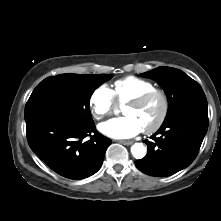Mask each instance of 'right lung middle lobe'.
Instances as JSON below:
<instances>
[{
    "mask_svg": "<svg viewBox=\"0 0 221 221\" xmlns=\"http://www.w3.org/2000/svg\"><path fill=\"white\" fill-rule=\"evenodd\" d=\"M110 74H61L44 79L32 92L25 106V120L44 112L57 113L81 125L94 123L90 98Z\"/></svg>",
    "mask_w": 221,
    "mask_h": 221,
    "instance_id": "obj_1",
    "label": "right lung middle lobe"
}]
</instances>
